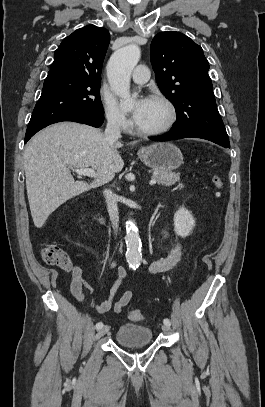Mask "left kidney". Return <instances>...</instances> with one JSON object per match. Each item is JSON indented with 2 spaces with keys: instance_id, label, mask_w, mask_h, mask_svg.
Wrapping results in <instances>:
<instances>
[{
  "instance_id": "5707ae66",
  "label": "left kidney",
  "mask_w": 265,
  "mask_h": 407,
  "mask_svg": "<svg viewBox=\"0 0 265 407\" xmlns=\"http://www.w3.org/2000/svg\"><path fill=\"white\" fill-rule=\"evenodd\" d=\"M194 226H195L194 217L184 207H181L174 214V231L180 237L185 238L189 236Z\"/></svg>"
}]
</instances>
